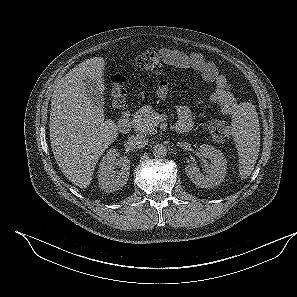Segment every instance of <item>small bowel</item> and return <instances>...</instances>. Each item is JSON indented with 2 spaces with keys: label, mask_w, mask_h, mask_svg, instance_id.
<instances>
[{
  "label": "small bowel",
  "mask_w": 297,
  "mask_h": 297,
  "mask_svg": "<svg viewBox=\"0 0 297 297\" xmlns=\"http://www.w3.org/2000/svg\"><path fill=\"white\" fill-rule=\"evenodd\" d=\"M159 53L166 64L181 69H192L198 72L205 81L214 83L215 89L210 94L209 100L213 104H217L224 114L233 116L238 112L239 103L230 89L227 78L219 72L214 62L206 59L201 53H185L174 48H162ZM157 94L162 99L168 96L169 84L167 81L159 82ZM197 102L200 103L201 99H198ZM177 114L178 123H188L192 126V114L188 106H178Z\"/></svg>",
  "instance_id": "obj_1"
}]
</instances>
